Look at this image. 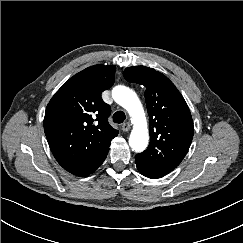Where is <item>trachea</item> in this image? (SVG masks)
Masks as SVG:
<instances>
[{"label":"trachea","instance_id":"3493384b","mask_svg":"<svg viewBox=\"0 0 243 243\" xmlns=\"http://www.w3.org/2000/svg\"><path fill=\"white\" fill-rule=\"evenodd\" d=\"M125 117L126 116H125V113L123 111H117L113 115V121L115 123L120 124V123H122L125 120Z\"/></svg>","mask_w":243,"mask_h":243}]
</instances>
